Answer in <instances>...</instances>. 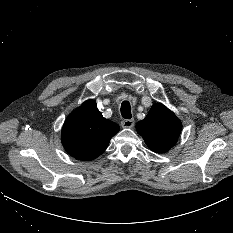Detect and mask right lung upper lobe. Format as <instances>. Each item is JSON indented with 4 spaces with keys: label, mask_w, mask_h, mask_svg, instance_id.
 Instances as JSON below:
<instances>
[{
    "label": "right lung upper lobe",
    "mask_w": 233,
    "mask_h": 233,
    "mask_svg": "<svg viewBox=\"0 0 233 233\" xmlns=\"http://www.w3.org/2000/svg\"><path fill=\"white\" fill-rule=\"evenodd\" d=\"M119 129V125L102 116L94 100H87L67 117L62 144L74 158L92 160L106 150Z\"/></svg>",
    "instance_id": "right-lung-upper-lobe-1"
}]
</instances>
